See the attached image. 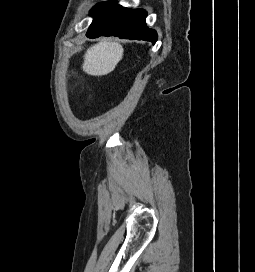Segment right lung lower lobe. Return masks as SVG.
Wrapping results in <instances>:
<instances>
[{
  "instance_id": "98d812e1",
  "label": "right lung lower lobe",
  "mask_w": 255,
  "mask_h": 272,
  "mask_svg": "<svg viewBox=\"0 0 255 272\" xmlns=\"http://www.w3.org/2000/svg\"><path fill=\"white\" fill-rule=\"evenodd\" d=\"M94 19L87 37L118 36L130 40H146L155 43L157 33L146 26L147 13L143 9H127L112 1L101 2L92 8Z\"/></svg>"
}]
</instances>
